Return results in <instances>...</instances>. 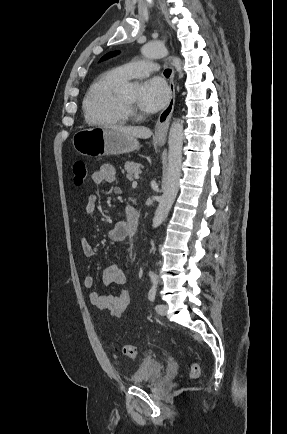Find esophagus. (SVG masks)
<instances>
[{"label":"esophagus","instance_id":"1","mask_svg":"<svg viewBox=\"0 0 287 434\" xmlns=\"http://www.w3.org/2000/svg\"><path fill=\"white\" fill-rule=\"evenodd\" d=\"M170 99L168 101L167 106L162 110L159 114L158 120L155 126V135L154 137L157 140H164L167 135L170 119L174 110L175 105V84H174V69L172 68L171 77H170Z\"/></svg>","mask_w":287,"mask_h":434}]
</instances>
